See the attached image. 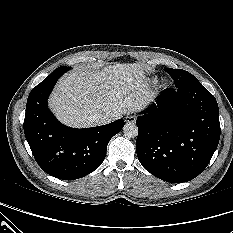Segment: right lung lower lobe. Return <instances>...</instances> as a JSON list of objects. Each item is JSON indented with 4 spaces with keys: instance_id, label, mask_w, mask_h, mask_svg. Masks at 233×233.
Wrapping results in <instances>:
<instances>
[{
    "instance_id": "98d812e1",
    "label": "right lung lower lobe",
    "mask_w": 233,
    "mask_h": 233,
    "mask_svg": "<svg viewBox=\"0 0 233 233\" xmlns=\"http://www.w3.org/2000/svg\"><path fill=\"white\" fill-rule=\"evenodd\" d=\"M69 69H55L29 94L24 132L39 166L49 175L74 180L82 178L103 162L110 139L125 122L74 129L61 124L50 112L47 99L57 80Z\"/></svg>"
}]
</instances>
